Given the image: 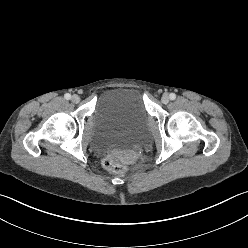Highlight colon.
Returning a JSON list of instances; mask_svg holds the SVG:
<instances>
[{
	"mask_svg": "<svg viewBox=\"0 0 248 248\" xmlns=\"http://www.w3.org/2000/svg\"><path fill=\"white\" fill-rule=\"evenodd\" d=\"M104 167L113 173H123L125 165L114 155H107L103 160Z\"/></svg>",
	"mask_w": 248,
	"mask_h": 248,
	"instance_id": "colon-1",
	"label": "colon"
}]
</instances>
